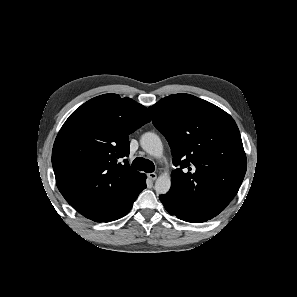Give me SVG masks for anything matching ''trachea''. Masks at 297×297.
Returning a JSON list of instances; mask_svg holds the SVG:
<instances>
[{
  "label": "trachea",
  "instance_id": "obj_1",
  "mask_svg": "<svg viewBox=\"0 0 297 297\" xmlns=\"http://www.w3.org/2000/svg\"><path fill=\"white\" fill-rule=\"evenodd\" d=\"M132 167L139 171H144L146 173H151L154 171L155 166L152 161L144 159L142 157H137L132 162Z\"/></svg>",
  "mask_w": 297,
  "mask_h": 297
}]
</instances>
